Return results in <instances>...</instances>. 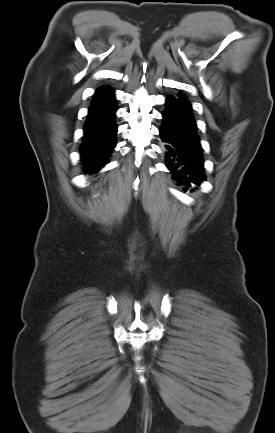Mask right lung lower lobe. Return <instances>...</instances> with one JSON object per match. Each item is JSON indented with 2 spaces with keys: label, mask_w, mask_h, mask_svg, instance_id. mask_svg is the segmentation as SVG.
<instances>
[{
  "label": "right lung lower lobe",
  "mask_w": 275,
  "mask_h": 433,
  "mask_svg": "<svg viewBox=\"0 0 275 433\" xmlns=\"http://www.w3.org/2000/svg\"><path fill=\"white\" fill-rule=\"evenodd\" d=\"M115 101L114 92L108 87L98 89L93 96L80 150L88 172L99 171L116 145Z\"/></svg>",
  "instance_id": "98d812e1"
}]
</instances>
